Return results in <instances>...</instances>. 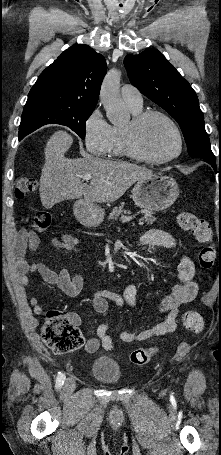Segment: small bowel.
Returning <instances> with one entry per match:
<instances>
[{"label":"small bowel","mask_w":221,"mask_h":455,"mask_svg":"<svg viewBox=\"0 0 221 455\" xmlns=\"http://www.w3.org/2000/svg\"><path fill=\"white\" fill-rule=\"evenodd\" d=\"M50 243L56 248L76 252L79 246V239L72 235L64 234L50 238ZM136 243L138 245L158 246L167 249L176 248L175 238L168 232L159 229L145 230L138 236ZM39 244L40 237L37 233L25 230L20 232V241L16 249V267L20 273V283L23 286H27L29 277L37 273L47 284L58 287L65 294L69 296L78 295L83 288L81 275L77 273L71 274L66 268L56 272L36 260L27 259L28 256L34 255ZM194 276V262L187 255L181 254L177 267L178 284L161 301L158 310L160 321L138 333L122 332L121 341L126 344H133L173 332L180 307L192 302L198 294L199 287L194 280ZM136 292L137 289L134 284L128 285L122 295L108 290H96L92 294V305L94 310L103 316L108 312V301H113L117 307H135ZM30 303L36 314L43 312L38 297H32ZM70 318L77 326L80 324V319L76 315H71ZM109 328V322L100 325L96 332L97 337L88 339L84 350L87 353H94L100 346L107 351L115 350L116 344L109 335Z\"/></svg>","instance_id":"obj_1"}]
</instances>
